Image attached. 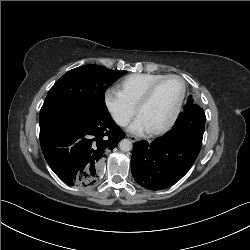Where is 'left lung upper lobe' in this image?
Listing matches in <instances>:
<instances>
[{"instance_id": "left-lung-upper-lobe-1", "label": "left lung upper lobe", "mask_w": 250, "mask_h": 250, "mask_svg": "<svg viewBox=\"0 0 250 250\" xmlns=\"http://www.w3.org/2000/svg\"><path fill=\"white\" fill-rule=\"evenodd\" d=\"M192 98V96H190L189 98H188V100H190Z\"/></svg>"}]
</instances>
